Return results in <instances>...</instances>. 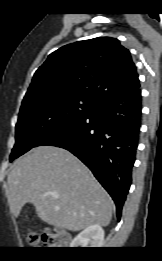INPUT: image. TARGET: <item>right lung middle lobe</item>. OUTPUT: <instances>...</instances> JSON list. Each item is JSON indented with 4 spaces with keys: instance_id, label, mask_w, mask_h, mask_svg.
<instances>
[{
    "instance_id": "dd1d6c3e",
    "label": "right lung middle lobe",
    "mask_w": 162,
    "mask_h": 261,
    "mask_svg": "<svg viewBox=\"0 0 162 261\" xmlns=\"http://www.w3.org/2000/svg\"><path fill=\"white\" fill-rule=\"evenodd\" d=\"M95 101L76 95L34 97L22 102L10 161L24 154L54 129L88 114Z\"/></svg>"
}]
</instances>
